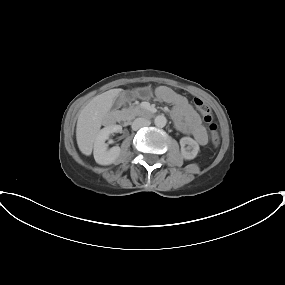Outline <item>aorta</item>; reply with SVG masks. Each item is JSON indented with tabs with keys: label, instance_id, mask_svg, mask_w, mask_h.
Returning <instances> with one entry per match:
<instances>
[{
	"label": "aorta",
	"instance_id": "obj_1",
	"mask_svg": "<svg viewBox=\"0 0 285 285\" xmlns=\"http://www.w3.org/2000/svg\"><path fill=\"white\" fill-rule=\"evenodd\" d=\"M166 123H167V119L164 115H158L154 119L155 126H157L159 128L165 127Z\"/></svg>",
	"mask_w": 285,
	"mask_h": 285
}]
</instances>
